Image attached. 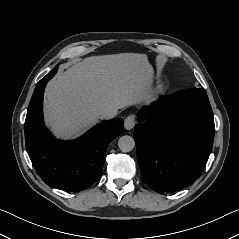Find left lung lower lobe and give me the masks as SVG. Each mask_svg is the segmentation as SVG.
I'll return each instance as SVG.
<instances>
[{
  "label": "left lung lower lobe",
  "instance_id": "0a47b994",
  "mask_svg": "<svg viewBox=\"0 0 239 239\" xmlns=\"http://www.w3.org/2000/svg\"><path fill=\"white\" fill-rule=\"evenodd\" d=\"M144 119L145 123H141ZM134 128L143 181L156 192H173L193 183L211 153L214 118L204 89L163 96L140 110Z\"/></svg>",
  "mask_w": 239,
  "mask_h": 239
}]
</instances>
